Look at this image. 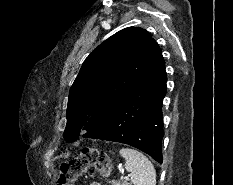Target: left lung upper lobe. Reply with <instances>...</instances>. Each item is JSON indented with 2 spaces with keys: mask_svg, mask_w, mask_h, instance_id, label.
<instances>
[{
  "mask_svg": "<svg viewBox=\"0 0 233 185\" xmlns=\"http://www.w3.org/2000/svg\"><path fill=\"white\" fill-rule=\"evenodd\" d=\"M163 58L150 33L142 28L120 30L84 61L70 88L64 139L75 141L81 129L102 124L120 98Z\"/></svg>",
  "mask_w": 233,
  "mask_h": 185,
  "instance_id": "obj_1",
  "label": "left lung upper lobe"
}]
</instances>
